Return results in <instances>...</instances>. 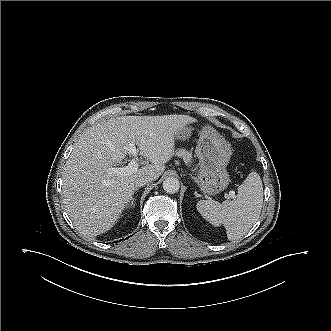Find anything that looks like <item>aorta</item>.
Wrapping results in <instances>:
<instances>
[{"label": "aorta", "mask_w": 331, "mask_h": 331, "mask_svg": "<svg viewBox=\"0 0 331 331\" xmlns=\"http://www.w3.org/2000/svg\"><path fill=\"white\" fill-rule=\"evenodd\" d=\"M163 189L169 194L177 193L180 189L179 180L174 177L166 178L163 181Z\"/></svg>", "instance_id": "obj_1"}]
</instances>
